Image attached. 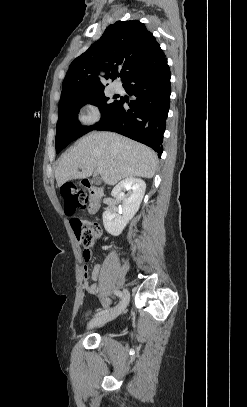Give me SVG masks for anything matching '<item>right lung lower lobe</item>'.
Returning a JSON list of instances; mask_svg holds the SVG:
<instances>
[{
  "mask_svg": "<svg viewBox=\"0 0 247 407\" xmlns=\"http://www.w3.org/2000/svg\"><path fill=\"white\" fill-rule=\"evenodd\" d=\"M170 69L167 59L144 67L131 74L124 89L136 97L123 107L121 98L113 111L94 129L113 131L141 142L162 154L163 134L170 104Z\"/></svg>",
  "mask_w": 247,
  "mask_h": 407,
  "instance_id": "obj_1",
  "label": "right lung lower lobe"
}]
</instances>
